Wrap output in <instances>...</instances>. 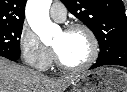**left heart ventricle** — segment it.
<instances>
[{
	"label": "left heart ventricle",
	"instance_id": "b2bd125f",
	"mask_svg": "<svg viewBox=\"0 0 127 92\" xmlns=\"http://www.w3.org/2000/svg\"><path fill=\"white\" fill-rule=\"evenodd\" d=\"M53 47L68 66L81 65L91 52L89 38L83 31L60 32L53 40Z\"/></svg>",
	"mask_w": 127,
	"mask_h": 92
}]
</instances>
